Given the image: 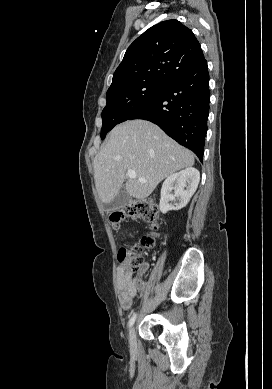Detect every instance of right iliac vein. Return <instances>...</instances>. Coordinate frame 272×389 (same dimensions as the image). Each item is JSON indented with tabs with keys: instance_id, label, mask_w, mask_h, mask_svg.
Listing matches in <instances>:
<instances>
[{
	"instance_id": "1",
	"label": "right iliac vein",
	"mask_w": 272,
	"mask_h": 389,
	"mask_svg": "<svg viewBox=\"0 0 272 389\" xmlns=\"http://www.w3.org/2000/svg\"><path fill=\"white\" fill-rule=\"evenodd\" d=\"M129 343L132 348L136 347V332L135 327H132L129 332Z\"/></svg>"
}]
</instances>
